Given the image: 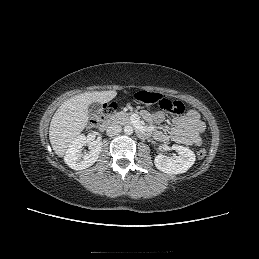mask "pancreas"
I'll return each instance as SVG.
<instances>
[{
  "label": "pancreas",
  "mask_w": 259,
  "mask_h": 259,
  "mask_svg": "<svg viewBox=\"0 0 259 259\" xmlns=\"http://www.w3.org/2000/svg\"><path fill=\"white\" fill-rule=\"evenodd\" d=\"M115 121L121 123V124H127L129 123V115L125 112H118L114 116L111 117Z\"/></svg>",
  "instance_id": "cf45deb5"
}]
</instances>
